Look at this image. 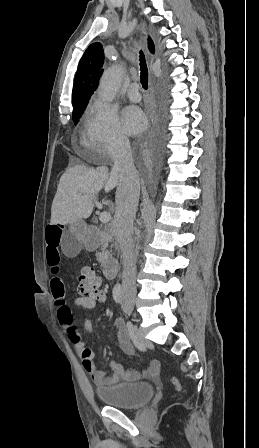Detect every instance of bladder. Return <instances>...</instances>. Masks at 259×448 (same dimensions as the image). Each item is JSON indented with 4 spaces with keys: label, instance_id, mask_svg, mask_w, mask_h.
Listing matches in <instances>:
<instances>
[{
    "label": "bladder",
    "instance_id": "1",
    "mask_svg": "<svg viewBox=\"0 0 259 448\" xmlns=\"http://www.w3.org/2000/svg\"><path fill=\"white\" fill-rule=\"evenodd\" d=\"M154 394L150 383H121L96 391L99 400L112 407L134 409L147 404Z\"/></svg>",
    "mask_w": 259,
    "mask_h": 448
}]
</instances>
